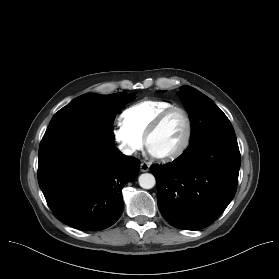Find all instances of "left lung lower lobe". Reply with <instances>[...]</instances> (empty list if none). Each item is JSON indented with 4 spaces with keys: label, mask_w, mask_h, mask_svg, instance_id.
Returning <instances> with one entry per match:
<instances>
[{
    "label": "left lung lower lobe",
    "mask_w": 279,
    "mask_h": 279,
    "mask_svg": "<svg viewBox=\"0 0 279 279\" xmlns=\"http://www.w3.org/2000/svg\"><path fill=\"white\" fill-rule=\"evenodd\" d=\"M240 164L235 133H219L190 143L172 163L151 165L163 217L179 229L209 226L233 199Z\"/></svg>",
    "instance_id": "0a47b994"
}]
</instances>
